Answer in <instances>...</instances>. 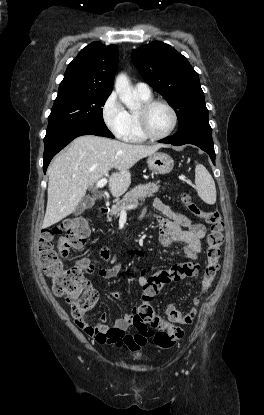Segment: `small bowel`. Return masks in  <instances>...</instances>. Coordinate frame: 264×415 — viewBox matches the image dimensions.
I'll return each mask as SVG.
<instances>
[{
	"label": "small bowel",
	"mask_w": 264,
	"mask_h": 415,
	"mask_svg": "<svg viewBox=\"0 0 264 415\" xmlns=\"http://www.w3.org/2000/svg\"><path fill=\"white\" fill-rule=\"evenodd\" d=\"M153 207L155 211L148 212L147 215L157 222L161 246L173 248L179 244L184 257L190 262H194L201 252V240L206 234L205 226L202 224H187L182 214L176 212L160 199L153 201ZM141 214H143V211ZM168 217L173 218V220H169ZM184 226H187L186 231L182 230ZM83 268L86 273H97L101 278L107 280L115 279L121 273L120 263L113 267H105L99 265L96 261L88 260L83 263ZM151 279L146 269L140 270L138 284L143 292H145ZM111 295L115 300L122 301V296L118 292L111 291ZM136 312L137 309H134L132 314H123L114 325L106 324L108 314L102 313L100 323L94 325L91 330L84 329V331L99 344L124 345L132 352L138 353L145 345L146 338L144 337L138 341L135 336L132 337L127 334V329L131 325Z\"/></svg>",
	"instance_id": "1"
}]
</instances>
